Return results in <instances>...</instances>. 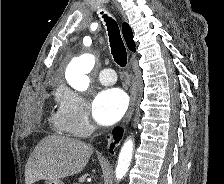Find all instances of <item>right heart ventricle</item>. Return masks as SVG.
I'll list each match as a JSON object with an SVG mask.
<instances>
[{"label": "right heart ventricle", "instance_id": "right-heart-ventricle-1", "mask_svg": "<svg viewBox=\"0 0 224 184\" xmlns=\"http://www.w3.org/2000/svg\"><path fill=\"white\" fill-rule=\"evenodd\" d=\"M51 122L53 123L54 128L57 131L63 132V133H70L62 119V114H61L60 108L56 112L53 113Z\"/></svg>", "mask_w": 224, "mask_h": 184}]
</instances>
